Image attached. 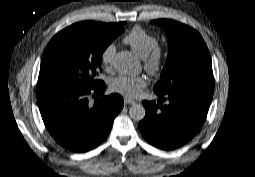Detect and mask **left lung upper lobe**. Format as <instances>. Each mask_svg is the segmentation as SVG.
I'll list each match as a JSON object with an SVG mask.
<instances>
[{
  "mask_svg": "<svg viewBox=\"0 0 255 177\" xmlns=\"http://www.w3.org/2000/svg\"><path fill=\"white\" fill-rule=\"evenodd\" d=\"M152 23L165 30L169 45L161 80L154 91L165 94L184 86L214 85L211 57L201 35L173 20L159 19Z\"/></svg>",
  "mask_w": 255,
  "mask_h": 177,
  "instance_id": "1",
  "label": "left lung upper lobe"
}]
</instances>
